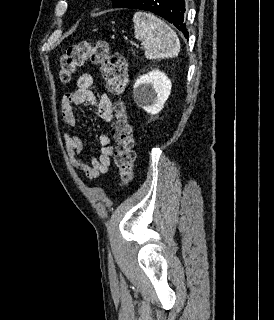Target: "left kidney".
<instances>
[{"mask_svg":"<svg viewBox=\"0 0 274 320\" xmlns=\"http://www.w3.org/2000/svg\"><path fill=\"white\" fill-rule=\"evenodd\" d=\"M133 88L137 106H141L148 114H159L170 96L172 84L164 72L153 70L139 76Z\"/></svg>","mask_w":274,"mask_h":320,"instance_id":"5707ae66","label":"left kidney"}]
</instances>
